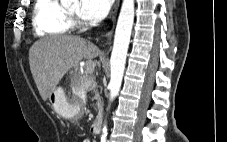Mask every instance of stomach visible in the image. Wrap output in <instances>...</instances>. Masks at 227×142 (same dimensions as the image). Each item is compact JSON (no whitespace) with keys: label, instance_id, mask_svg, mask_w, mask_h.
<instances>
[{"label":"stomach","instance_id":"0dacf381","mask_svg":"<svg viewBox=\"0 0 227 142\" xmlns=\"http://www.w3.org/2000/svg\"><path fill=\"white\" fill-rule=\"evenodd\" d=\"M48 99L54 110L64 118L73 119L81 111L80 106L76 109V105L70 102L61 87L53 90Z\"/></svg>","mask_w":227,"mask_h":142}]
</instances>
